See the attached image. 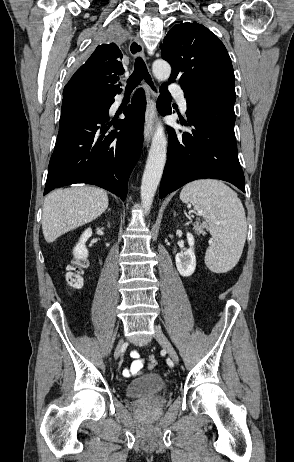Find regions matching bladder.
Listing matches in <instances>:
<instances>
[{"instance_id":"1","label":"bladder","mask_w":294,"mask_h":462,"mask_svg":"<svg viewBox=\"0 0 294 462\" xmlns=\"http://www.w3.org/2000/svg\"><path fill=\"white\" fill-rule=\"evenodd\" d=\"M168 389L167 381L158 374H149L142 376L130 382L125 393L130 398L147 397Z\"/></svg>"}]
</instances>
